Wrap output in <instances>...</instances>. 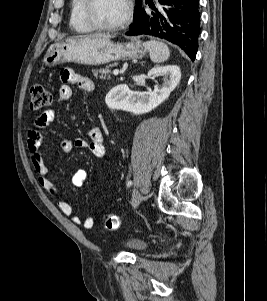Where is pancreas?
<instances>
[{"mask_svg":"<svg viewBox=\"0 0 267 301\" xmlns=\"http://www.w3.org/2000/svg\"><path fill=\"white\" fill-rule=\"evenodd\" d=\"M113 67V65H108L104 68H99L96 70H93V75L97 78L98 77V73L100 74V78L101 79H110V68Z\"/></svg>","mask_w":267,"mask_h":301,"instance_id":"pancreas-1","label":"pancreas"}]
</instances>
